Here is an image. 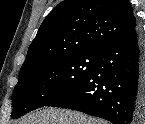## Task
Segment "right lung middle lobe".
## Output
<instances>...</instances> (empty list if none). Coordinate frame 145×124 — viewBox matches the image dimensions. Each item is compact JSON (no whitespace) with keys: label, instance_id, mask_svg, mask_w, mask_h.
<instances>
[{"label":"right lung middle lobe","instance_id":"dd1d6c3e","mask_svg":"<svg viewBox=\"0 0 145 124\" xmlns=\"http://www.w3.org/2000/svg\"><path fill=\"white\" fill-rule=\"evenodd\" d=\"M99 54L79 53L49 60L19 77L14 89L12 118L21 117L82 81Z\"/></svg>","mask_w":145,"mask_h":124}]
</instances>
